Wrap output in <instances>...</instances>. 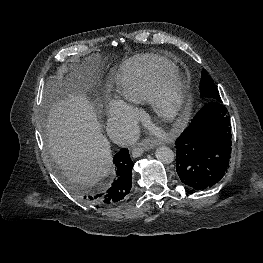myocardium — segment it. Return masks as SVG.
<instances>
[{"instance_id": "1", "label": "myocardium", "mask_w": 263, "mask_h": 263, "mask_svg": "<svg viewBox=\"0 0 263 263\" xmlns=\"http://www.w3.org/2000/svg\"><path fill=\"white\" fill-rule=\"evenodd\" d=\"M171 93V99L168 94ZM156 119L168 125H177L189 112V89L176 72L160 76L153 84L147 99Z\"/></svg>"}]
</instances>
